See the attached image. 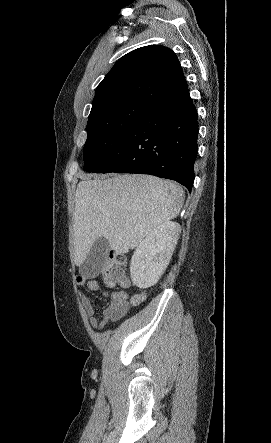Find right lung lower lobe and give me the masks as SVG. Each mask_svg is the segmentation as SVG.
I'll return each instance as SVG.
<instances>
[{"label": "right lung lower lobe", "mask_w": 271, "mask_h": 443, "mask_svg": "<svg viewBox=\"0 0 271 443\" xmlns=\"http://www.w3.org/2000/svg\"><path fill=\"white\" fill-rule=\"evenodd\" d=\"M197 110L189 91L152 103L110 158L93 173H142L172 179L189 191L195 178Z\"/></svg>", "instance_id": "98d812e1"}]
</instances>
